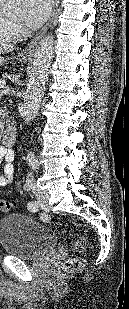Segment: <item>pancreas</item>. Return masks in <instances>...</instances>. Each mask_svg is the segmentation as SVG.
<instances>
[{
  "label": "pancreas",
  "instance_id": "1",
  "mask_svg": "<svg viewBox=\"0 0 129 309\" xmlns=\"http://www.w3.org/2000/svg\"><path fill=\"white\" fill-rule=\"evenodd\" d=\"M0 82H5L4 75H3V78L0 77ZM1 115H3V114L0 112V116ZM0 127H1V120H0Z\"/></svg>",
  "mask_w": 129,
  "mask_h": 309
}]
</instances>
